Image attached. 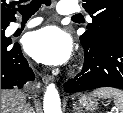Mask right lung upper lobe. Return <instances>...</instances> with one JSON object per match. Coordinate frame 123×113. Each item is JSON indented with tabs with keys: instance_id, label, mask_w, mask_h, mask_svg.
<instances>
[{
	"instance_id": "cb5924a9",
	"label": "right lung upper lobe",
	"mask_w": 123,
	"mask_h": 113,
	"mask_svg": "<svg viewBox=\"0 0 123 113\" xmlns=\"http://www.w3.org/2000/svg\"><path fill=\"white\" fill-rule=\"evenodd\" d=\"M21 2L22 0H1V23L15 21V5Z\"/></svg>"
}]
</instances>
